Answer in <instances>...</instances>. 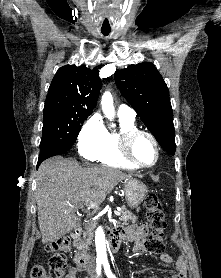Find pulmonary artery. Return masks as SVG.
Returning a JSON list of instances; mask_svg holds the SVG:
<instances>
[{"label": "pulmonary artery", "instance_id": "e3ab8cb5", "mask_svg": "<svg viewBox=\"0 0 221 278\" xmlns=\"http://www.w3.org/2000/svg\"><path fill=\"white\" fill-rule=\"evenodd\" d=\"M117 114L119 117L128 118L131 120H134L136 116L135 110L125 104L119 105Z\"/></svg>", "mask_w": 221, "mask_h": 278}]
</instances>
